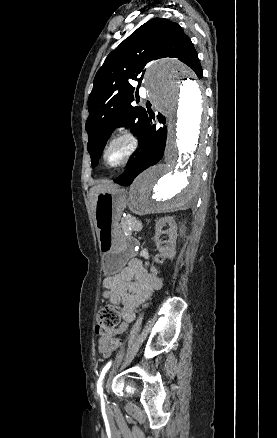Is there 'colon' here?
Segmentation results:
<instances>
[{"label": "colon", "mask_w": 277, "mask_h": 438, "mask_svg": "<svg viewBox=\"0 0 277 438\" xmlns=\"http://www.w3.org/2000/svg\"><path fill=\"white\" fill-rule=\"evenodd\" d=\"M163 256L159 255L158 259H162ZM119 318V311L114 306H103L97 314L96 318V331L102 335L111 336L112 330L116 327ZM108 341L111 346H119L120 340L115 337H108Z\"/></svg>", "instance_id": "5ec220e1"}]
</instances>
